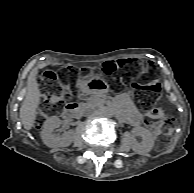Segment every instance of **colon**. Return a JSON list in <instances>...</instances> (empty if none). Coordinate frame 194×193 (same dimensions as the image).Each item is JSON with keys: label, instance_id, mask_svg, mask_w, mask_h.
Returning a JSON list of instances; mask_svg holds the SVG:
<instances>
[{"label": "colon", "instance_id": "1", "mask_svg": "<svg viewBox=\"0 0 194 193\" xmlns=\"http://www.w3.org/2000/svg\"><path fill=\"white\" fill-rule=\"evenodd\" d=\"M102 72L111 77L123 72L124 80L132 81L140 108L148 112L149 118L156 127L159 136L157 145L160 148L164 147L174 135L175 122L162 109L155 107L160 97V87L154 80L157 76L156 68L144 65L140 61L121 59L105 62ZM74 77L75 70L70 67L63 68L58 73L50 71L43 74L41 110L36 116V125H42L48 115L57 112L63 106L69 96L68 88ZM115 89L120 90V86L115 85Z\"/></svg>", "mask_w": 194, "mask_h": 193}]
</instances>
